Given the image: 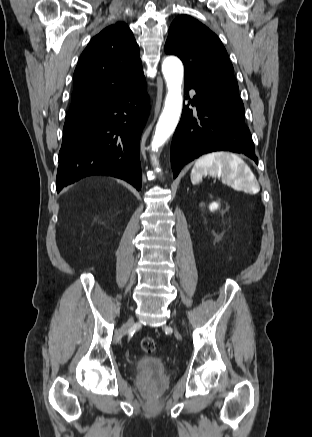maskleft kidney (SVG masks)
Here are the masks:
<instances>
[{"mask_svg": "<svg viewBox=\"0 0 312 437\" xmlns=\"http://www.w3.org/2000/svg\"><path fill=\"white\" fill-rule=\"evenodd\" d=\"M219 208V204L217 203V202H212L211 204H210V206H209V209L211 210V211H215V210H217Z\"/></svg>", "mask_w": 312, "mask_h": 437, "instance_id": "1", "label": "left kidney"}]
</instances>
